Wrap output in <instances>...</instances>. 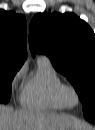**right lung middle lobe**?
<instances>
[{
  "label": "right lung middle lobe",
  "instance_id": "dd1d6c3e",
  "mask_svg": "<svg viewBox=\"0 0 95 130\" xmlns=\"http://www.w3.org/2000/svg\"><path fill=\"white\" fill-rule=\"evenodd\" d=\"M20 67L0 66V103H7L11 95V82Z\"/></svg>",
  "mask_w": 95,
  "mask_h": 130
}]
</instances>
